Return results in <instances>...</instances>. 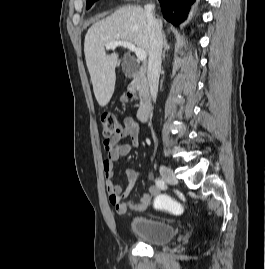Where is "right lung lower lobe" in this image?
Listing matches in <instances>:
<instances>
[{"label": "right lung lower lobe", "instance_id": "obj_1", "mask_svg": "<svg viewBox=\"0 0 265 269\" xmlns=\"http://www.w3.org/2000/svg\"><path fill=\"white\" fill-rule=\"evenodd\" d=\"M195 0H159L163 16L174 25H179L187 17L190 5Z\"/></svg>", "mask_w": 265, "mask_h": 269}]
</instances>
